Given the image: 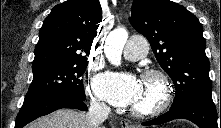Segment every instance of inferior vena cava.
Segmentation results:
<instances>
[{
    "instance_id": "1",
    "label": "inferior vena cava",
    "mask_w": 221,
    "mask_h": 128,
    "mask_svg": "<svg viewBox=\"0 0 221 128\" xmlns=\"http://www.w3.org/2000/svg\"><path fill=\"white\" fill-rule=\"evenodd\" d=\"M110 108L96 101L90 102V108L86 114V120L90 128H99V126L107 119Z\"/></svg>"
}]
</instances>
